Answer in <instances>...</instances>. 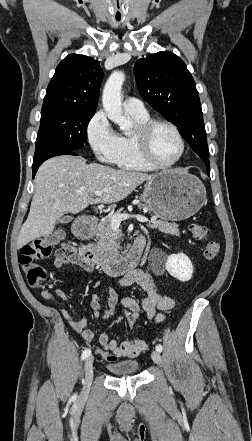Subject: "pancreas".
I'll return each mask as SVG.
<instances>
[{"label": "pancreas", "instance_id": "obj_1", "mask_svg": "<svg viewBox=\"0 0 252 441\" xmlns=\"http://www.w3.org/2000/svg\"><path fill=\"white\" fill-rule=\"evenodd\" d=\"M139 207H145L144 205H139ZM123 209H119L115 214H120ZM112 216V215H111ZM111 216L102 219L96 229V243L93 248L96 251L100 260L104 261L107 258L118 253V245L116 240L118 239V232H115L111 225ZM152 229H158L160 232L172 235H178L179 229L178 224L168 223L162 220L152 219L148 225Z\"/></svg>", "mask_w": 252, "mask_h": 441}]
</instances>
